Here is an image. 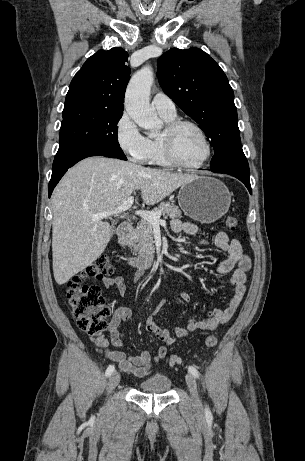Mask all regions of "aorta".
<instances>
[{
  "label": "aorta",
  "mask_w": 305,
  "mask_h": 461,
  "mask_svg": "<svg viewBox=\"0 0 305 461\" xmlns=\"http://www.w3.org/2000/svg\"><path fill=\"white\" fill-rule=\"evenodd\" d=\"M153 81L154 75L151 67L145 66L136 72L127 86L124 106L129 116L141 128L157 132L162 122L149 103Z\"/></svg>",
  "instance_id": "1"
}]
</instances>
